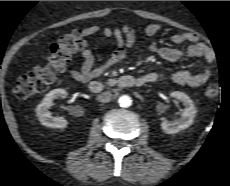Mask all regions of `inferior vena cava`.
<instances>
[{"mask_svg": "<svg viewBox=\"0 0 230 186\" xmlns=\"http://www.w3.org/2000/svg\"><path fill=\"white\" fill-rule=\"evenodd\" d=\"M98 100L103 103H108L112 99V94L109 91L103 92L98 95Z\"/></svg>", "mask_w": 230, "mask_h": 186, "instance_id": "602c4592", "label": "inferior vena cava"}]
</instances>
